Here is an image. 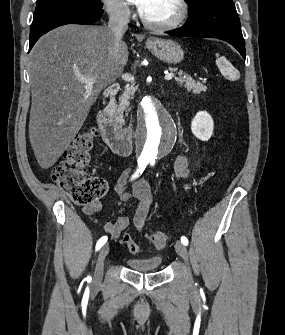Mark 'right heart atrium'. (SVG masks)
<instances>
[{
    "label": "right heart atrium",
    "instance_id": "d8ad5b80",
    "mask_svg": "<svg viewBox=\"0 0 285 335\" xmlns=\"http://www.w3.org/2000/svg\"><path fill=\"white\" fill-rule=\"evenodd\" d=\"M104 8L109 18L114 22H127L132 16L130 1H104Z\"/></svg>",
    "mask_w": 285,
    "mask_h": 335
}]
</instances>
